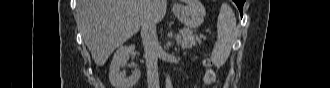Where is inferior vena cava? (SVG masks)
I'll list each match as a JSON object with an SVG mask.
<instances>
[{"label":"inferior vena cava","mask_w":330,"mask_h":88,"mask_svg":"<svg viewBox=\"0 0 330 88\" xmlns=\"http://www.w3.org/2000/svg\"><path fill=\"white\" fill-rule=\"evenodd\" d=\"M141 37L147 66L148 88H159L157 59L160 45L156 34V21L152 16H148L142 21Z\"/></svg>","instance_id":"1"}]
</instances>
